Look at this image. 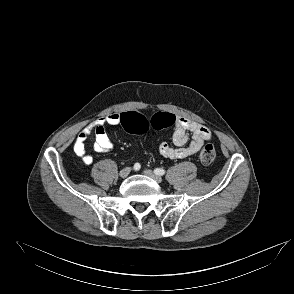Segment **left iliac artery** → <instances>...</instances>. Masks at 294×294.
<instances>
[{
	"instance_id": "obj_1",
	"label": "left iliac artery",
	"mask_w": 294,
	"mask_h": 294,
	"mask_svg": "<svg viewBox=\"0 0 294 294\" xmlns=\"http://www.w3.org/2000/svg\"><path fill=\"white\" fill-rule=\"evenodd\" d=\"M154 172H155V174L160 175V176L165 174V170L162 168H156L154 170Z\"/></svg>"
}]
</instances>
